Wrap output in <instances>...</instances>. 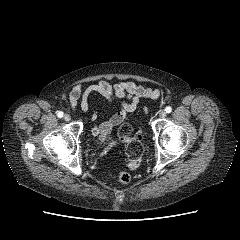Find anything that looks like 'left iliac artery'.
<instances>
[{
  "label": "left iliac artery",
  "instance_id": "obj_1",
  "mask_svg": "<svg viewBox=\"0 0 240 240\" xmlns=\"http://www.w3.org/2000/svg\"><path fill=\"white\" fill-rule=\"evenodd\" d=\"M165 111H166V113H171L172 108H171L170 106H167V107L165 108Z\"/></svg>",
  "mask_w": 240,
  "mask_h": 240
}]
</instances>
